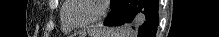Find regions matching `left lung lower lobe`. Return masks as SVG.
<instances>
[{"label":"left lung lower lobe","instance_id":"1","mask_svg":"<svg viewBox=\"0 0 219 37\" xmlns=\"http://www.w3.org/2000/svg\"><path fill=\"white\" fill-rule=\"evenodd\" d=\"M158 24V0H118L104 22L125 25L135 37H155Z\"/></svg>","mask_w":219,"mask_h":37}]
</instances>
